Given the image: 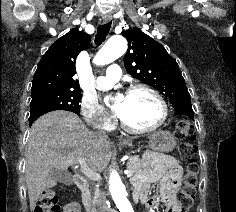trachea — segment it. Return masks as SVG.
<instances>
[{
  "mask_svg": "<svg viewBox=\"0 0 236 212\" xmlns=\"http://www.w3.org/2000/svg\"><path fill=\"white\" fill-rule=\"evenodd\" d=\"M110 27H111V22H108L106 24L100 25L98 27L97 34H96L95 40H94L95 44L97 46L101 45L105 41L106 36L109 33Z\"/></svg>",
  "mask_w": 236,
  "mask_h": 212,
  "instance_id": "obj_1",
  "label": "trachea"
}]
</instances>
